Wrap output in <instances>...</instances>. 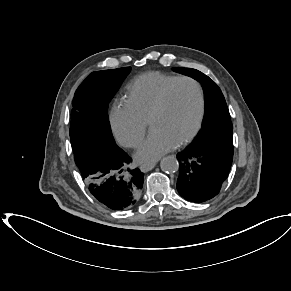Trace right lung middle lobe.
<instances>
[{"label": "right lung middle lobe", "instance_id": "1", "mask_svg": "<svg viewBox=\"0 0 291 291\" xmlns=\"http://www.w3.org/2000/svg\"><path fill=\"white\" fill-rule=\"evenodd\" d=\"M129 72L130 67L93 72L76 90L70 140L77 166L119 149L109 123L108 105Z\"/></svg>", "mask_w": 291, "mask_h": 291}]
</instances>
